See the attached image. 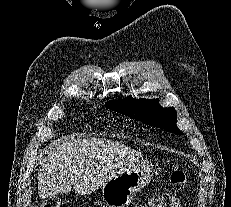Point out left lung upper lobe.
I'll use <instances>...</instances> for the list:
<instances>
[{"instance_id":"left-lung-upper-lobe-1","label":"left lung upper lobe","mask_w":231,"mask_h":207,"mask_svg":"<svg viewBox=\"0 0 231 207\" xmlns=\"http://www.w3.org/2000/svg\"><path fill=\"white\" fill-rule=\"evenodd\" d=\"M106 105L126 116L145 124L160 127L174 134H183L176 126L177 113L174 108H162L158 99H133L106 102Z\"/></svg>"}]
</instances>
